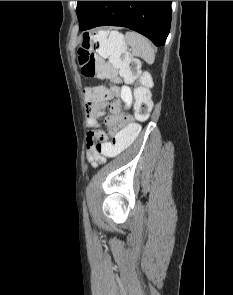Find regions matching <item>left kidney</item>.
I'll return each instance as SVG.
<instances>
[{
  "instance_id": "obj_1",
  "label": "left kidney",
  "mask_w": 233,
  "mask_h": 295,
  "mask_svg": "<svg viewBox=\"0 0 233 295\" xmlns=\"http://www.w3.org/2000/svg\"><path fill=\"white\" fill-rule=\"evenodd\" d=\"M140 83L147 87V88H152L154 83H153V79L150 75L149 72H144L143 75L140 78Z\"/></svg>"
}]
</instances>
